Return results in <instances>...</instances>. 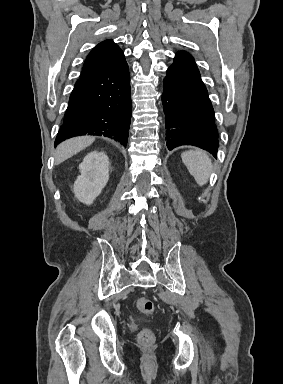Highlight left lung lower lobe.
<instances>
[{"mask_svg":"<svg viewBox=\"0 0 283 384\" xmlns=\"http://www.w3.org/2000/svg\"><path fill=\"white\" fill-rule=\"evenodd\" d=\"M163 85L162 103L168 149L193 145L217 158L219 144L214 110L196 63L189 53H176Z\"/></svg>","mask_w":283,"mask_h":384,"instance_id":"1","label":"left lung lower lobe"}]
</instances>
